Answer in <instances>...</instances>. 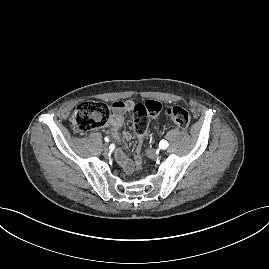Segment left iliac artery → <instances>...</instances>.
<instances>
[{
  "label": "left iliac artery",
  "mask_w": 269,
  "mask_h": 269,
  "mask_svg": "<svg viewBox=\"0 0 269 269\" xmlns=\"http://www.w3.org/2000/svg\"><path fill=\"white\" fill-rule=\"evenodd\" d=\"M159 146L162 148V149H166L169 144L166 140H161L160 143H159Z\"/></svg>",
  "instance_id": "44dca946"
}]
</instances>
